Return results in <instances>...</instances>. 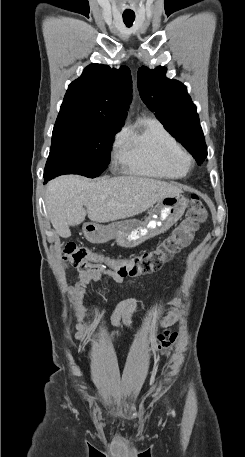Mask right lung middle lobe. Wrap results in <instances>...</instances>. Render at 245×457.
<instances>
[{
  "label": "right lung middle lobe",
  "instance_id": "obj_1",
  "mask_svg": "<svg viewBox=\"0 0 245 457\" xmlns=\"http://www.w3.org/2000/svg\"><path fill=\"white\" fill-rule=\"evenodd\" d=\"M124 122L58 115L45 166V181L61 174L99 176L107 167L111 141Z\"/></svg>",
  "mask_w": 245,
  "mask_h": 457
}]
</instances>
